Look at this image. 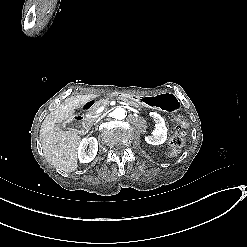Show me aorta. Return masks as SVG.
<instances>
[{
    "label": "aorta",
    "instance_id": "aorta-1",
    "mask_svg": "<svg viewBox=\"0 0 247 247\" xmlns=\"http://www.w3.org/2000/svg\"><path fill=\"white\" fill-rule=\"evenodd\" d=\"M112 117L118 120H122L126 117V110L121 107H117L112 112Z\"/></svg>",
    "mask_w": 247,
    "mask_h": 247
}]
</instances>
